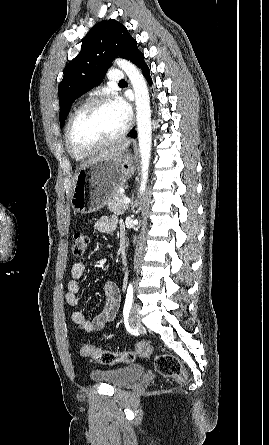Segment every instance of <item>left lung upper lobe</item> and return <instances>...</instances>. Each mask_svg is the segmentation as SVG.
<instances>
[{
  "label": "left lung upper lobe",
  "instance_id": "5c2ea615",
  "mask_svg": "<svg viewBox=\"0 0 269 445\" xmlns=\"http://www.w3.org/2000/svg\"><path fill=\"white\" fill-rule=\"evenodd\" d=\"M141 52L137 41L120 22L101 21L88 32L80 53L65 67L58 89L60 126L63 127L76 98L99 85L118 56L135 64Z\"/></svg>",
  "mask_w": 269,
  "mask_h": 445
}]
</instances>
